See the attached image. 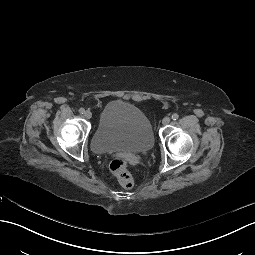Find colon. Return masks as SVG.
I'll list each match as a JSON object with an SVG mask.
<instances>
[{"mask_svg":"<svg viewBox=\"0 0 255 255\" xmlns=\"http://www.w3.org/2000/svg\"><path fill=\"white\" fill-rule=\"evenodd\" d=\"M110 170L117 177L120 185L124 188H132L134 185V179L128 170L126 159L117 157L110 163Z\"/></svg>","mask_w":255,"mask_h":255,"instance_id":"colon-1","label":"colon"}]
</instances>
